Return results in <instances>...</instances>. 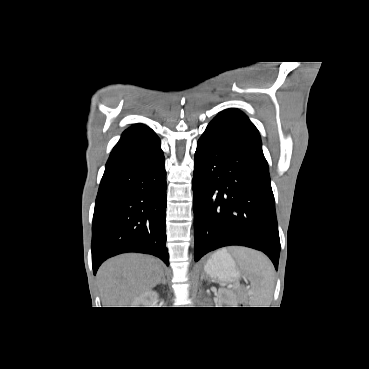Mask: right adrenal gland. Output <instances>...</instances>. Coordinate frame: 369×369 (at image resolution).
<instances>
[{
	"label": "right adrenal gland",
	"mask_w": 369,
	"mask_h": 369,
	"mask_svg": "<svg viewBox=\"0 0 369 369\" xmlns=\"http://www.w3.org/2000/svg\"><path fill=\"white\" fill-rule=\"evenodd\" d=\"M161 283L164 284V285L166 284V278H165V274L164 273L162 274V279H161V281L158 284H161Z\"/></svg>",
	"instance_id": "2a0ac1e0"
}]
</instances>
